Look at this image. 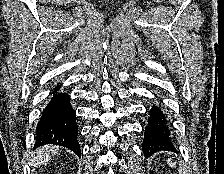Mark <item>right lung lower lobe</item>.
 <instances>
[{
	"label": "right lung lower lobe",
	"mask_w": 224,
	"mask_h": 174,
	"mask_svg": "<svg viewBox=\"0 0 224 174\" xmlns=\"http://www.w3.org/2000/svg\"><path fill=\"white\" fill-rule=\"evenodd\" d=\"M59 88V85L55 88L53 97L42 112L36 128L34 148L56 144L69 148L80 156L76 113L70 104V96L67 93L58 92Z\"/></svg>",
	"instance_id": "obj_1"
}]
</instances>
